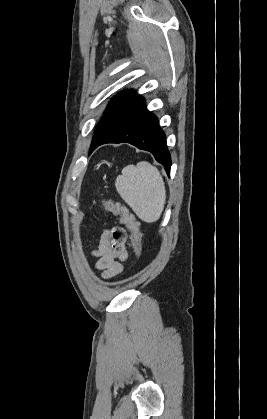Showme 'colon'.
<instances>
[{
	"label": "colon",
	"instance_id": "colon-1",
	"mask_svg": "<svg viewBox=\"0 0 267 419\" xmlns=\"http://www.w3.org/2000/svg\"><path fill=\"white\" fill-rule=\"evenodd\" d=\"M101 206L111 213L112 215L118 216L121 222L130 231L131 241L134 247L137 257H140L142 253V233L140 231L139 223L135 217L128 211V209L119 202H115L111 199H101Z\"/></svg>",
	"mask_w": 267,
	"mask_h": 419
}]
</instances>
